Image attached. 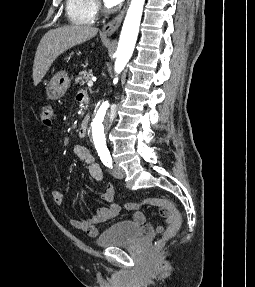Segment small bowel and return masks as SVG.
Wrapping results in <instances>:
<instances>
[{"mask_svg":"<svg viewBox=\"0 0 255 287\" xmlns=\"http://www.w3.org/2000/svg\"><path fill=\"white\" fill-rule=\"evenodd\" d=\"M71 149L73 154L87 165L88 172L91 178L97 183L101 182L103 179L102 169L95 161L89 149L81 144H74ZM63 198L64 196L61 191H52V199L56 205H61L63 203ZM101 199L108 205L97 209L95 214L88 219H72L71 224L75 228L83 230L89 236H97L99 233L97 225L116 217L121 210V207L114 202V188L111 184H106L104 186L101 193ZM160 214L162 217H164L165 222L167 224H170L171 219L169 212L166 209H162L160 211ZM133 222L142 226L147 232L150 233H161L164 231V227L162 225L153 226L147 224L146 216L141 211H136L133 214Z\"/></svg>","mask_w":255,"mask_h":287,"instance_id":"1","label":"small bowel"}]
</instances>
